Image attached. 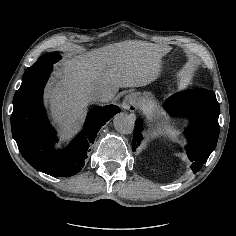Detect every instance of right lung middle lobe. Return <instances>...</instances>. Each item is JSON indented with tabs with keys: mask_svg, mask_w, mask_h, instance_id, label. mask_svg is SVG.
<instances>
[{
	"mask_svg": "<svg viewBox=\"0 0 236 236\" xmlns=\"http://www.w3.org/2000/svg\"><path fill=\"white\" fill-rule=\"evenodd\" d=\"M60 59V55L58 52H51L44 56L39 57V59L29 68L26 69L24 76L28 75L29 73L45 68L57 62Z\"/></svg>",
	"mask_w": 236,
	"mask_h": 236,
	"instance_id": "1",
	"label": "right lung middle lobe"
}]
</instances>
